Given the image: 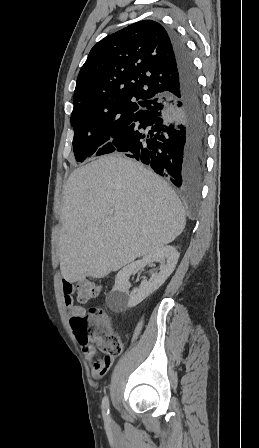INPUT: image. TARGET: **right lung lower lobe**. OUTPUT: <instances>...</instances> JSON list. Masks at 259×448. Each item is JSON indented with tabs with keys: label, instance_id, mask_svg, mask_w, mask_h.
<instances>
[{
	"label": "right lung lower lobe",
	"instance_id": "98d812e1",
	"mask_svg": "<svg viewBox=\"0 0 259 448\" xmlns=\"http://www.w3.org/2000/svg\"><path fill=\"white\" fill-rule=\"evenodd\" d=\"M166 31L179 85L176 91L145 105L112 141L111 151L150 165L176 187H197L204 174L207 143L201 93L185 43L174 29Z\"/></svg>",
	"mask_w": 259,
	"mask_h": 448
}]
</instances>
